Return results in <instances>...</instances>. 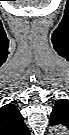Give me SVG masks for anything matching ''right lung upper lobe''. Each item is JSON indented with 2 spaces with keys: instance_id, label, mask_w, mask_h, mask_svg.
I'll return each mask as SVG.
<instances>
[{
  "instance_id": "obj_1",
  "label": "right lung upper lobe",
  "mask_w": 69,
  "mask_h": 135,
  "mask_svg": "<svg viewBox=\"0 0 69 135\" xmlns=\"http://www.w3.org/2000/svg\"><path fill=\"white\" fill-rule=\"evenodd\" d=\"M2 135H29V130L19 110L12 104L0 109Z\"/></svg>"
}]
</instances>
